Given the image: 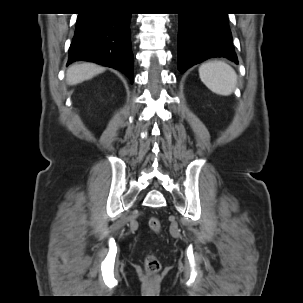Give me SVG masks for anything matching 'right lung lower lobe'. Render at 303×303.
Segmentation results:
<instances>
[{"instance_id":"98d812e1","label":"right lung lower lobe","mask_w":303,"mask_h":303,"mask_svg":"<svg viewBox=\"0 0 303 303\" xmlns=\"http://www.w3.org/2000/svg\"><path fill=\"white\" fill-rule=\"evenodd\" d=\"M131 14L92 9L78 15L67 65L90 61L117 69L133 80Z\"/></svg>"}]
</instances>
